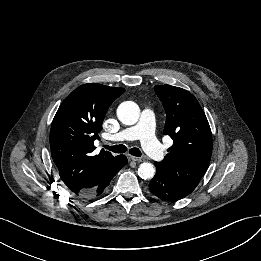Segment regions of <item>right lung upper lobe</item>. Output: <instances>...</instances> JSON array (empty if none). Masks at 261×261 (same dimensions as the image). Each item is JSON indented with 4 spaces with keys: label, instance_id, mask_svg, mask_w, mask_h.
I'll return each mask as SVG.
<instances>
[{
    "label": "right lung upper lobe",
    "instance_id": "cb5924a9",
    "mask_svg": "<svg viewBox=\"0 0 261 261\" xmlns=\"http://www.w3.org/2000/svg\"><path fill=\"white\" fill-rule=\"evenodd\" d=\"M124 91L95 83L81 85L66 97L53 119L51 155L62 181L76 196L95 187L116 158L104 150L95 156L91 152L109 106Z\"/></svg>",
    "mask_w": 261,
    "mask_h": 261
}]
</instances>
